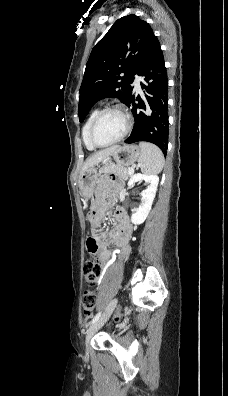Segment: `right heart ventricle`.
<instances>
[{"label":"right heart ventricle","mask_w":228,"mask_h":396,"mask_svg":"<svg viewBox=\"0 0 228 396\" xmlns=\"http://www.w3.org/2000/svg\"><path fill=\"white\" fill-rule=\"evenodd\" d=\"M99 112V109L95 108L91 111V113L89 114L88 118L86 119L83 128H82V138H83V142L86 146V148L88 150H94L95 147L92 146V144L89 141V129L91 126V123L93 121V119L95 118V116L97 115V113Z\"/></svg>","instance_id":"right-heart-ventricle-1"}]
</instances>
